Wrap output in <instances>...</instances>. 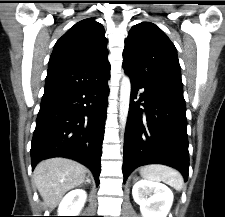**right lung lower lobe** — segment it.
Listing matches in <instances>:
<instances>
[{
  "label": "right lung lower lobe",
  "mask_w": 225,
  "mask_h": 217,
  "mask_svg": "<svg viewBox=\"0 0 225 217\" xmlns=\"http://www.w3.org/2000/svg\"><path fill=\"white\" fill-rule=\"evenodd\" d=\"M108 79L94 86L43 96L32 139V169L43 159L67 157L90 168L99 184Z\"/></svg>",
  "instance_id": "1"
}]
</instances>
